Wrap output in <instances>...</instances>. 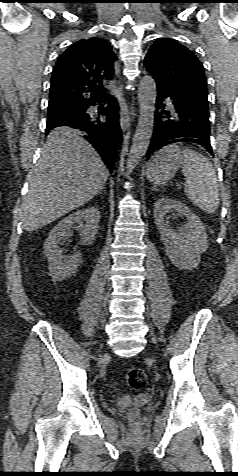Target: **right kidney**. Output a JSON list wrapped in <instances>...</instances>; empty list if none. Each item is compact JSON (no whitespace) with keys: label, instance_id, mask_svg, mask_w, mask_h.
<instances>
[{"label":"right kidney","instance_id":"ca27d5eb","mask_svg":"<svg viewBox=\"0 0 238 476\" xmlns=\"http://www.w3.org/2000/svg\"><path fill=\"white\" fill-rule=\"evenodd\" d=\"M99 219L98 209L88 207L65 217L52 229L44 244L43 253L48 259L49 271L56 281L68 279L82 262L80 251L63 260L62 250L59 247L61 242L71 233L72 228H76L80 231L81 244L92 243L98 231Z\"/></svg>","mask_w":238,"mask_h":476}]
</instances>
